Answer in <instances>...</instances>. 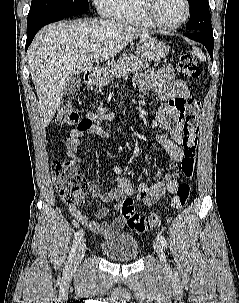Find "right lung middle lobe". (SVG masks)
I'll return each instance as SVG.
<instances>
[{
	"label": "right lung middle lobe",
	"instance_id": "1",
	"mask_svg": "<svg viewBox=\"0 0 239 303\" xmlns=\"http://www.w3.org/2000/svg\"><path fill=\"white\" fill-rule=\"evenodd\" d=\"M88 9V0H32L27 23L47 14L87 11Z\"/></svg>",
	"mask_w": 239,
	"mask_h": 303
}]
</instances>
